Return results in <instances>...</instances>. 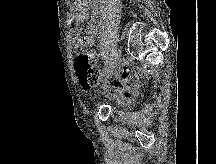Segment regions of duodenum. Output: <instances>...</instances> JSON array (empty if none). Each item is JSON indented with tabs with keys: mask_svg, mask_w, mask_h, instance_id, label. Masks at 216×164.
Returning a JSON list of instances; mask_svg holds the SVG:
<instances>
[{
	"mask_svg": "<svg viewBox=\"0 0 216 164\" xmlns=\"http://www.w3.org/2000/svg\"><path fill=\"white\" fill-rule=\"evenodd\" d=\"M104 0H93L92 11L95 14H99L102 11Z\"/></svg>",
	"mask_w": 216,
	"mask_h": 164,
	"instance_id": "1",
	"label": "duodenum"
}]
</instances>
